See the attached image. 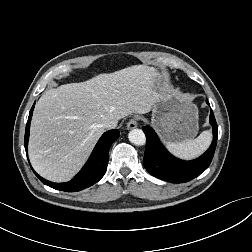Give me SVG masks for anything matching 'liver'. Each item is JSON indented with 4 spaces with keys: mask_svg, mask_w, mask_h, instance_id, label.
<instances>
[{
    "mask_svg": "<svg viewBox=\"0 0 252 252\" xmlns=\"http://www.w3.org/2000/svg\"><path fill=\"white\" fill-rule=\"evenodd\" d=\"M153 76V68L135 65L47 90L30 128L28 152L35 171L53 182L70 180L104 133L105 121L153 108Z\"/></svg>",
    "mask_w": 252,
    "mask_h": 252,
    "instance_id": "liver-1",
    "label": "liver"
}]
</instances>
